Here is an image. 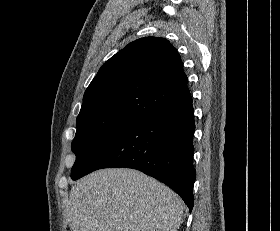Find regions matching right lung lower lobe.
Wrapping results in <instances>:
<instances>
[{"mask_svg": "<svg viewBox=\"0 0 280 231\" xmlns=\"http://www.w3.org/2000/svg\"><path fill=\"white\" fill-rule=\"evenodd\" d=\"M194 131L192 100L163 108L126 130L72 179L102 168L140 170L172 188L191 212L196 179Z\"/></svg>", "mask_w": 280, "mask_h": 231, "instance_id": "1", "label": "right lung lower lobe"}]
</instances>
